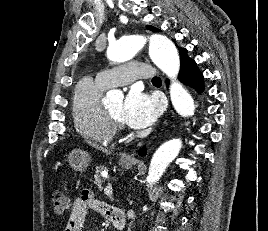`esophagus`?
I'll return each instance as SVG.
<instances>
[{
	"mask_svg": "<svg viewBox=\"0 0 268 231\" xmlns=\"http://www.w3.org/2000/svg\"><path fill=\"white\" fill-rule=\"evenodd\" d=\"M121 158L125 161H134L133 154H129V153H124Z\"/></svg>",
	"mask_w": 268,
	"mask_h": 231,
	"instance_id": "1",
	"label": "esophagus"
}]
</instances>
